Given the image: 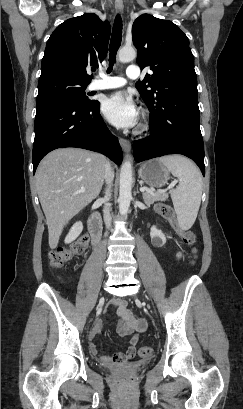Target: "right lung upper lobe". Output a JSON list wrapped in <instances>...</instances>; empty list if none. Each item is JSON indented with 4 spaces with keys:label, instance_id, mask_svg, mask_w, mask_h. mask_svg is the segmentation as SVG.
<instances>
[{
    "label": "right lung upper lobe",
    "instance_id": "1",
    "mask_svg": "<svg viewBox=\"0 0 243 409\" xmlns=\"http://www.w3.org/2000/svg\"><path fill=\"white\" fill-rule=\"evenodd\" d=\"M109 22L94 13L71 18L60 24L47 41L39 79L64 76L89 84V66H98L107 55Z\"/></svg>",
    "mask_w": 243,
    "mask_h": 409
}]
</instances>
